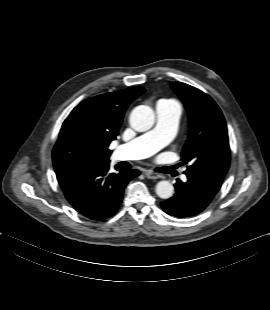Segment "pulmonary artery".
I'll return each mask as SVG.
<instances>
[{
	"mask_svg": "<svg viewBox=\"0 0 270 310\" xmlns=\"http://www.w3.org/2000/svg\"><path fill=\"white\" fill-rule=\"evenodd\" d=\"M155 111L157 123L154 129L117 148L122 159L138 160L150 157L173 139L181 113L180 107L158 102Z\"/></svg>",
	"mask_w": 270,
	"mask_h": 310,
	"instance_id": "1",
	"label": "pulmonary artery"
}]
</instances>
